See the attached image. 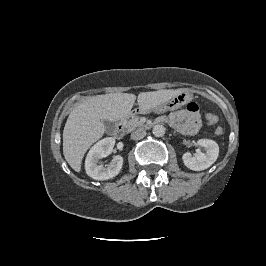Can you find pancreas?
I'll return each instance as SVG.
<instances>
[{"label": "pancreas", "instance_id": "cf45deb5", "mask_svg": "<svg viewBox=\"0 0 266 266\" xmlns=\"http://www.w3.org/2000/svg\"><path fill=\"white\" fill-rule=\"evenodd\" d=\"M143 126L144 124L139 120V117H133L127 122V125H126L129 131H132L137 127H143Z\"/></svg>", "mask_w": 266, "mask_h": 266}]
</instances>
